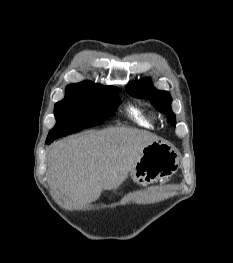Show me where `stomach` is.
<instances>
[{"instance_id": "0dacf381", "label": "stomach", "mask_w": 233, "mask_h": 263, "mask_svg": "<svg viewBox=\"0 0 233 263\" xmlns=\"http://www.w3.org/2000/svg\"><path fill=\"white\" fill-rule=\"evenodd\" d=\"M179 167V152L171 144L157 140L144 147L131 171L133 180L146 186L168 178Z\"/></svg>"}]
</instances>
